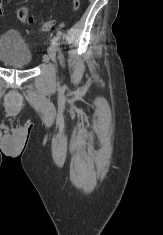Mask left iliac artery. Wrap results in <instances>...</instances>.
I'll use <instances>...</instances> for the list:
<instances>
[{"instance_id": "obj_1", "label": "left iliac artery", "mask_w": 163, "mask_h": 235, "mask_svg": "<svg viewBox=\"0 0 163 235\" xmlns=\"http://www.w3.org/2000/svg\"><path fill=\"white\" fill-rule=\"evenodd\" d=\"M52 45H54V46L56 47V49H57L58 43H57L56 39H53V40H52Z\"/></svg>"}]
</instances>
